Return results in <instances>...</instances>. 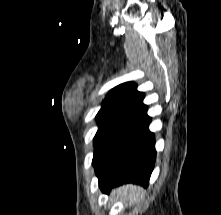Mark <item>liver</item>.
<instances>
[{"label": "liver", "instance_id": "1", "mask_svg": "<svg viewBox=\"0 0 221 215\" xmlns=\"http://www.w3.org/2000/svg\"><path fill=\"white\" fill-rule=\"evenodd\" d=\"M142 191L141 187L128 184L115 189L112 195H116L118 199L126 201V204L133 205L138 200Z\"/></svg>", "mask_w": 221, "mask_h": 215}]
</instances>
